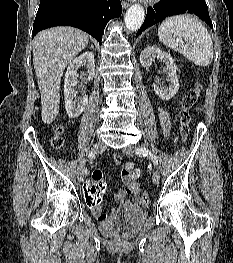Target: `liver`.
Wrapping results in <instances>:
<instances>
[{"label":"liver","mask_w":233,"mask_h":263,"mask_svg":"<svg viewBox=\"0 0 233 263\" xmlns=\"http://www.w3.org/2000/svg\"><path fill=\"white\" fill-rule=\"evenodd\" d=\"M88 35L74 27H53L33 40V64L41 95V116L51 124L59 113L60 82L63 72L88 45Z\"/></svg>","instance_id":"6515ba94"}]
</instances>
